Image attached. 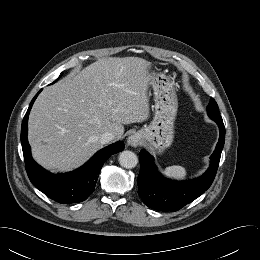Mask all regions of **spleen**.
<instances>
[{
    "label": "spleen",
    "instance_id": "spleen-1",
    "mask_svg": "<svg viewBox=\"0 0 260 260\" xmlns=\"http://www.w3.org/2000/svg\"><path fill=\"white\" fill-rule=\"evenodd\" d=\"M164 172L168 177L175 179H184L186 177V170L182 166H169Z\"/></svg>",
    "mask_w": 260,
    "mask_h": 260
}]
</instances>
